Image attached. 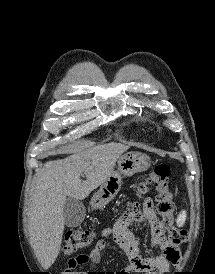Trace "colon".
<instances>
[{
	"label": "colon",
	"instance_id": "obj_1",
	"mask_svg": "<svg viewBox=\"0 0 215 274\" xmlns=\"http://www.w3.org/2000/svg\"><path fill=\"white\" fill-rule=\"evenodd\" d=\"M171 169L164 162L156 163L149 177L138 184L136 193L142 195L147 192L150 186H154L158 192L157 203L162 215L163 226L168 231L167 240L174 245H181L187 239L186 231L179 229L175 225V204L170 191ZM93 234L88 230H70L65 236L64 252L72 254L90 245Z\"/></svg>",
	"mask_w": 215,
	"mask_h": 274
}]
</instances>
